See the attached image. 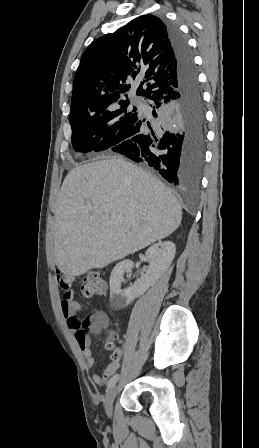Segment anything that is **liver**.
I'll list each match as a JSON object with an SVG mask.
<instances>
[{
  "instance_id": "obj_1",
  "label": "liver",
  "mask_w": 259,
  "mask_h": 448,
  "mask_svg": "<svg viewBox=\"0 0 259 448\" xmlns=\"http://www.w3.org/2000/svg\"><path fill=\"white\" fill-rule=\"evenodd\" d=\"M55 264L64 276L135 254L179 228L181 206L151 172L124 158H101L71 170L55 208ZM102 214H110L102 220Z\"/></svg>"
}]
</instances>
